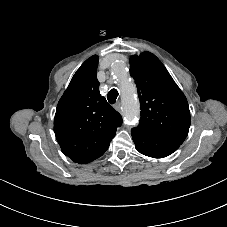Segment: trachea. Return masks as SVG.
<instances>
[{
	"mask_svg": "<svg viewBox=\"0 0 227 227\" xmlns=\"http://www.w3.org/2000/svg\"><path fill=\"white\" fill-rule=\"evenodd\" d=\"M118 95L119 94L116 89H111L107 95V99H108L109 103L114 104L117 100Z\"/></svg>",
	"mask_w": 227,
	"mask_h": 227,
	"instance_id": "1",
	"label": "trachea"
}]
</instances>
